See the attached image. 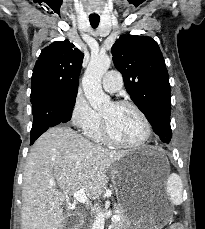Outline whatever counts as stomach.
I'll return each mask as SVG.
<instances>
[{"mask_svg":"<svg viewBox=\"0 0 205 229\" xmlns=\"http://www.w3.org/2000/svg\"><path fill=\"white\" fill-rule=\"evenodd\" d=\"M152 152L142 147L126 155L111 171L122 211L130 229H162L170 219L169 210L161 203L149 204L140 194L144 175L143 162Z\"/></svg>","mask_w":205,"mask_h":229,"instance_id":"1","label":"stomach"}]
</instances>
